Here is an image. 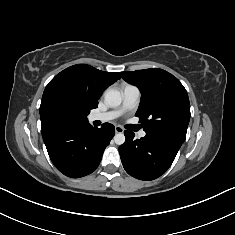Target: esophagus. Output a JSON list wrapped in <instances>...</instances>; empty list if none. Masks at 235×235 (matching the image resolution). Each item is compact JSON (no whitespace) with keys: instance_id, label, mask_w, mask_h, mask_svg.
I'll list each match as a JSON object with an SVG mask.
<instances>
[{"instance_id":"1","label":"esophagus","mask_w":235,"mask_h":235,"mask_svg":"<svg viewBox=\"0 0 235 235\" xmlns=\"http://www.w3.org/2000/svg\"><path fill=\"white\" fill-rule=\"evenodd\" d=\"M123 128L121 126H115V132L116 133H123Z\"/></svg>"}]
</instances>
